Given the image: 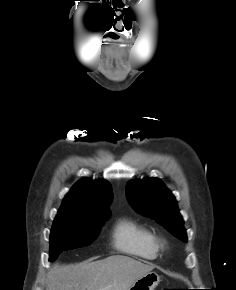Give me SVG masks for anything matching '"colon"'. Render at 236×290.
<instances>
[{
    "label": "colon",
    "instance_id": "obj_1",
    "mask_svg": "<svg viewBox=\"0 0 236 290\" xmlns=\"http://www.w3.org/2000/svg\"><path fill=\"white\" fill-rule=\"evenodd\" d=\"M163 290H177V289H163Z\"/></svg>",
    "mask_w": 236,
    "mask_h": 290
}]
</instances>
